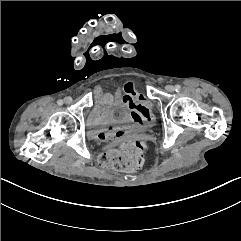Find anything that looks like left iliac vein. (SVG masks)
I'll use <instances>...</instances> for the list:
<instances>
[{"mask_svg": "<svg viewBox=\"0 0 241 241\" xmlns=\"http://www.w3.org/2000/svg\"><path fill=\"white\" fill-rule=\"evenodd\" d=\"M165 88H166V90L168 92H173L174 91V86L173 85H167Z\"/></svg>", "mask_w": 241, "mask_h": 241, "instance_id": "1", "label": "left iliac vein"}]
</instances>
